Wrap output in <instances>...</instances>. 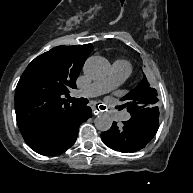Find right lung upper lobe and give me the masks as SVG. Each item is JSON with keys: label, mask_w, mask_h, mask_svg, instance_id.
Returning <instances> with one entry per match:
<instances>
[{"label": "right lung upper lobe", "mask_w": 193, "mask_h": 193, "mask_svg": "<svg viewBox=\"0 0 193 193\" xmlns=\"http://www.w3.org/2000/svg\"><path fill=\"white\" fill-rule=\"evenodd\" d=\"M92 50L91 44L58 46L35 58L22 74L15 92L17 124L26 143L56 136L82 107L64 96Z\"/></svg>", "instance_id": "obj_1"}]
</instances>
